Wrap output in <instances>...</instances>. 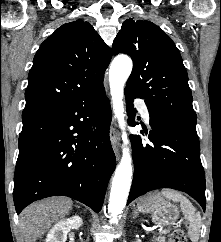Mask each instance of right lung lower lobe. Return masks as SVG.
Wrapping results in <instances>:
<instances>
[{
	"label": "right lung lower lobe",
	"mask_w": 221,
	"mask_h": 242,
	"mask_svg": "<svg viewBox=\"0 0 221 242\" xmlns=\"http://www.w3.org/2000/svg\"><path fill=\"white\" fill-rule=\"evenodd\" d=\"M111 116L102 83L62 108L23 118L14 176L17 214L36 200L57 195L101 210L116 167Z\"/></svg>",
	"instance_id": "1"
}]
</instances>
